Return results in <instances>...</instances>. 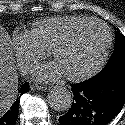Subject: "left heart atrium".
<instances>
[{
    "label": "left heart atrium",
    "mask_w": 125,
    "mask_h": 125,
    "mask_svg": "<svg viewBox=\"0 0 125 125\" xmlns=\"http://www.w3.org/2000/svg\"><path fill=\"white\" fill-rule=\"evenodd\" d=\"M63 75L65 72L57 61L44 64L35 72L36 78L40 81L56 80Z\"/></svg>",
    "instance_id": "39dd6f15"
}]
</instances>
